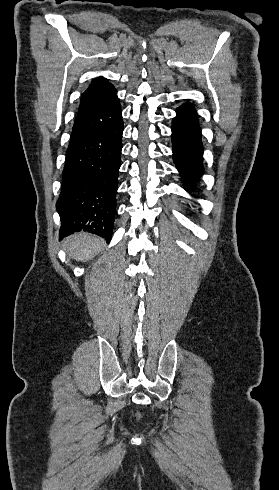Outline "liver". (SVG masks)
<instances>
[{
    "instance_id": "obj_1",
    "label": "liver",
    "mask_w": 279,
    "mask_h": 490,
    "mask_svg": "<svg viewBox=\"0 0 279 490\" xmlns=\"http://www.w3.org/2000/svg\"><path fill=\"white\" fill-rule=\"evenodd\" d=\"M64 248L70 258L76 262H88V260H93L101 250H104L106 244L98 236L80 232V234H73L66 238Z\"/></svg>"
}]
</instances>
